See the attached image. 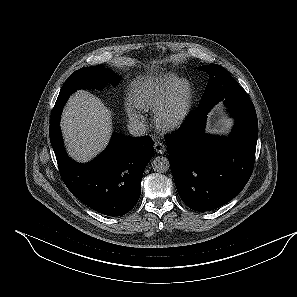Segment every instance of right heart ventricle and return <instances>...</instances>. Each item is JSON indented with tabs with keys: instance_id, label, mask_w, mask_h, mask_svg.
<instances>
[{
	"instance_id": "e07e8e85",
	"label": "right heart ventricle",
	"mask_w": 297,
	"mask_h": 297,
	"mask_svg": "<svg viewBox=\"0 0 297 297\" xmlns=\"http://www.w3.org/2000/svg\"><path fill=\"white\" fill-rule=\"evenodd\" d=\"M178 80L174 74H164L136 81L130 91L132 104L145 111L154 110L166 99Z\"/></svg>"
}]
</instances>
